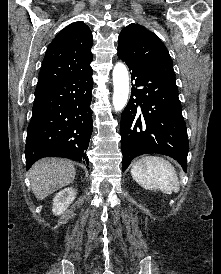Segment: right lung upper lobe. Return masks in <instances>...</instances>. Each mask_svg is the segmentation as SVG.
<instances>
[{
    "mask_svg": "<svg viewBox=\"0 0 221 274\" xmlns=\"http://www.w3.org/2000/svg\"><path fill=\"white\" fill-rule=\"evenodd\" d=\"M93 37L83 22H74L53 39L47 48L36 90L91 70Z\"/></svg>",
    "mask_w": 221,
    "mask_h": 274,
    "instance_id": "right-lung-upper-lobe-1",
    "label": "right lung upper lobe"
}]
</instances>
